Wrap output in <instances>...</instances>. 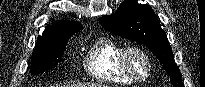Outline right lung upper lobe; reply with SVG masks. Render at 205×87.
I'll return each mask as SVG.
<instances>
[{"label":"right lung upper lobe","instance_id":"cb5924a9","mask_svg":"<svg viewBox=\"0 0 205 87\" xmlns=\"http://www.w3.org/2000/svg\"><path fill=\"white\" fill-rule=\"evenodd\" d=\"M80 29H82V26L78 22L61 20L59 23L46 26L42 35L37 38V42L64 39L70 37Z\"/></svg>","mask_w":205,"mask_h":87}]
</instances>
